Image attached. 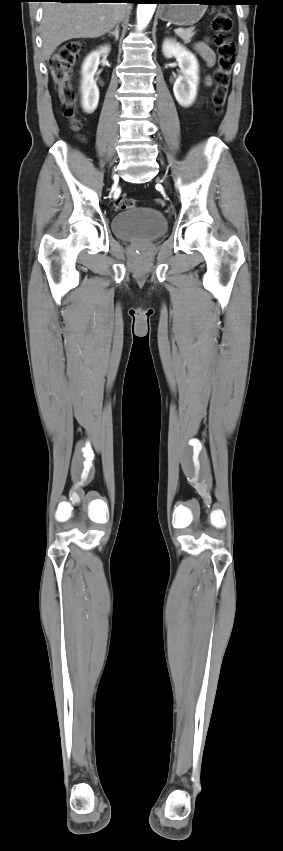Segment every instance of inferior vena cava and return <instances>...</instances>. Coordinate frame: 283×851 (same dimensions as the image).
Returning <instances> with one entry per match:
<instances>
[{
    "mask_svg": "<svg viewBox=\"0 0 283 851\" xmlns=\"http://www.w3.org/2000/svg\"><path fill=\"white\" fill-rule=\"evenodd\" d=\"M123 4H124V3H123ZM124 5H127V4H124ZM125 14H126V11L124 10V11L122 12V14L120 15V17H119V19H118L117 23H119L120 21H122V20H123V18H124V16H125Z\"/></svg>",
    "mask_w": 283,
    "mask_h": 851,
    "instance_id": "1",
    "label": "inferior vena cava"
}]
</instances>
